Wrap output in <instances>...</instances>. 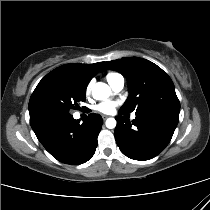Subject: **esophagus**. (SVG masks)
I'll return each instance as SVG.
<instances>
[{
	"instance_id": "1",
	"label": "esophagus",
	"mask_w": 210,
	"mask_h": 210,
	"mask_svg": "<svg viewBox=\"0 0 210 210\" xmlns=\"http://www.w3.org/2000/svg\"><path fill=\"white\" fill-rule=\"evenodd\" d=\"M109 116L107 115H102L103 120H106Z\"/></svg>"
}]
</instances>
